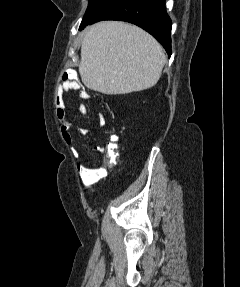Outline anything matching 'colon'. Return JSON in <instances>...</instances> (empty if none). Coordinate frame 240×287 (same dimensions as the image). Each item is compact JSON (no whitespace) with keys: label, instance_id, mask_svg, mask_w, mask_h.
Segmentation results:
<instances>
[{"label":"colon","instance_id":"1","mask_svg":"<svg viewBox=\"0 0 240 287\" xmlns=\"http://www.w3.org/2000/svg\"><path fill=\"white\" fill-rule=\"evenodd\" d=\"M67 79H68V75L65 74L62 78V82ZM118 141H119L118 136L113 135L111 138L110 146H109L107 161H101L95 167H81L80 168V176L85 183L87 184L93 183L105 175L106 166L113 164L115 160L117 159V155H118L117 154V142Z\"/></svg>","mask_w":240,"mask_h":287}]
</instances>
